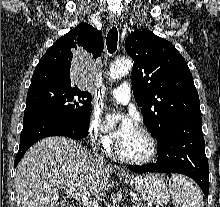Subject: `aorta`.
<instances>
[{"label": "aorta", "mask_w": 220, "mask_h": 207, "mask_svg": "<svg viewBox=\"0 0 220 207\" xmlns=\"http://www.w3.org/2000/svg\"><path fill=\"white\" fill-rule=\"evenodd\" d=\"M133 67V62L130 59H122L114 62L109 70L110 79L116 80L129 73Z\"/></svg>", "instance_id": "obj_1"}]
</instances>
